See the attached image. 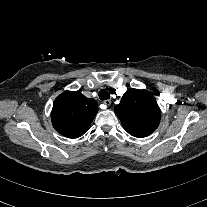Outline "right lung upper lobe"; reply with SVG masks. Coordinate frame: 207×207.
<instances>
[{
    "instance_id": "cb5924a9",
    "label": "right lung upper lobe",
    "mask_w": 207,
    "mask_h": 207,
    "mask_svg": "<svg viewBox=\"0 0 207 207\" xmlns=\"http://www.w3.org/2000/svg\"><path fill=\"white\" fill-rule=\"evenodd\" d=\"M98 112L97 102L79 91H66L54 101L51 119L53 127L68 138L82 136Z\"/></svg>"
}]
</instances>
